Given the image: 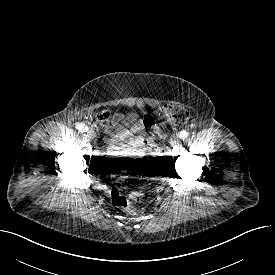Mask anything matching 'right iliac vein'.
Listing matches in <instances>:
<instances>
[{
    "label": "right iliac vein",
    "instance_id": "1",
    "mask_svg": "<svg viewBox=\"0 0 275 275\" xmlns=\"http://www.w3.org/2000/svg\"><path fill=\"white\" fill-rule=\"evenodd\" d=\"M87 134H88V136H89L91 139H94V138L96 137V133H95V131H94L92 128H89V129L87 130Z\"/></svg>",
    "mask_w": 275,
    "mask_h": 275
}]
</instances>
